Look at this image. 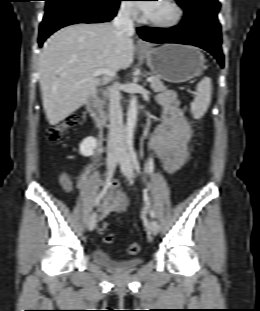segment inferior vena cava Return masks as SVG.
Returning <instances> with one entry per match:
<instances>
[{
  "label": "inferior vena cava",
  "mask_w": 260,
  "mask_h": 311,
  "mask_svg": "<svg viewBox=\"0 0 260 311\" xmlns=\"http://www.w3.org/2000/svg\"><path fill=\"white\" fill-rule=\"evenodd\" d=\"M112 25L123 33H134V23L131 18V9L122 8L114 18ZM109 134L108 149L120 150L124 138L123 115L121 108V93L118 83H114L109 91Z\"/></svg>",
  "instance_id": "inferior-vena-cava-1"
}]
</instances>
